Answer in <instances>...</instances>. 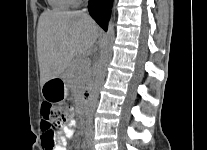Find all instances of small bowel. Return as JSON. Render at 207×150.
<instances>
[{
	"instance_id": "c3829d8e",
	"label": "small bowel",
	"mask_w": 207,
	"mask_h": 150,
	"mask_svg": "<svg viewBox=\"0 0 207 150\" xmlns=\"http://www.w3.org/2000/svg\"><path fill=\"white\" fill-rule=\"evenodd\" d=\"M76 127H77L76 121L74 119H70L68 123L64 126L61 133L54 134L55 145L52 147V150H66L67 140L72 138ZM41 140L43 145L44 144L43 136Z\"/></svg>"
}]
</instances>
